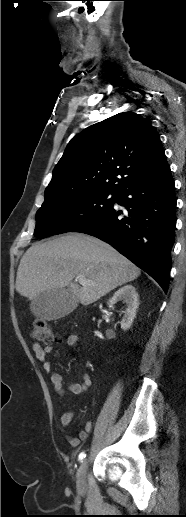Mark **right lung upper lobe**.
<instances>
[{
  "label": "right lung upper lobe",
  "mask_w": 186,
  "mask_h": 517,
  "mask_svg": "<svg viewBox=\"0 0 186 517\" xmlns=\"http://www.w3.org/2000/svg\"><path fill=\"white\" fill-rule=\"evenodd\" d=\"M167 167L149 120L133 112L119 113L73 137L53 170L45 201L88 191L119 194Z\"/></svg>",
  "instance_id": "cb5924a9"
}]
</instances>
